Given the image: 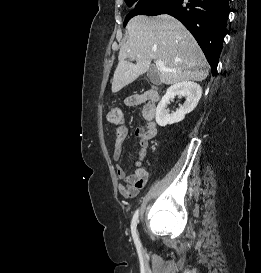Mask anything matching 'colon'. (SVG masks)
I'll return each mask as SVG.
<instances>
[{"instance_id":"colon-1","label":"colon","mask_w":261,"mask_h":273,"mask_svg":"<svg viewBox=\"0 0 261 273\" xmlns=\"http://www.w3.org/2000/svg\"><path fill=\"white\" fill-rule=\"evenodd\" d=\"M107 119L113 124H120L124 120L122 110L117 107L111 108L107 113Z\"/></svg>"}]
</instances>
